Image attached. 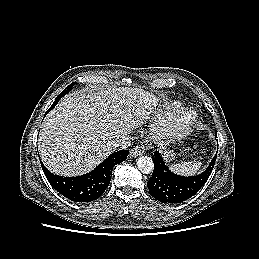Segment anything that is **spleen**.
<instances>
[{
	"instance_id": "obj_1",
	"label": "spleen",
	"mask_w": 259,
	"mask_h": 259,
	"mask_svg": "<svg viewBox=\"0 0 259 259\" xmlns=\"http://www.w3.org/2000/svg\"><path fill=\"white\" fill-rule=\"evenodd\" d=\"M202 166V163L199 161L195 162H181L178 164H173L170 166V169L179 175H194L196 174Z\"/></svg>"
}]
</instances>
